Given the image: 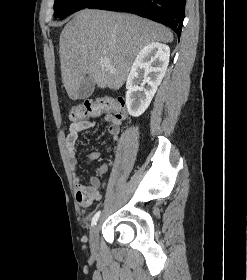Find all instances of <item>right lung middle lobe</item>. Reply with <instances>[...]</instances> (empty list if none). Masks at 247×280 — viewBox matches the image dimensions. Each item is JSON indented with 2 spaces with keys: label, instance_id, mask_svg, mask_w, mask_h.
<instances>
[{
  "label": "right lung middle lobe",
  "instance_id": "dd1d6c3e",
  "mask_svg": "<svg viewBox=\"0 0 247 280\" xmlns=\"http://www.w3.org/2000/svg\"><path fill=\"white\" fill-rule=\"evenodd\" d=\"M97 0H55L54 16L63 18L91 6Z\"/></svg>",
  "mask_w": 247,
  "mask_h": 280
}]
</instances>
